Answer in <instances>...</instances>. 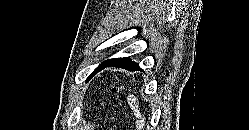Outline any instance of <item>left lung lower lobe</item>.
<instances>
[{
  "instance_id": "1",
  "label": "left lung lower lobe",
  "mask_w": 249,
  "mask_h": 130,
  "mask_svg": "<svg viewBox=\"0 0 249 130\" xmlns=\"http://www.w3.org/2000/svg\"><path fill=\"white\" fill-rule=\"evenodd\" d=\"M120 67V68H124L128 71H136V70H141V68L139 67L138 63L133 62L132 60H130L129 57H124V58H115V59H111L108 61H105L103 63L102 66H100L93 75H95L97 72H99L100 70H102L103 68L106 67ZM92 75V76H93ZM91 76V77H92Z\"/></svg>"
}]
</instances>
